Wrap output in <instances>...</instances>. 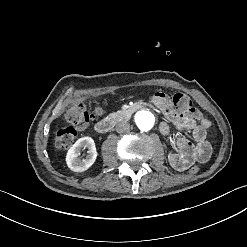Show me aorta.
Here are the masks:
<instances>
[{
    "label": "aorta",
    "instance_id": "762f6f07",
    "mask_svg": "<svg viewBox=\"0 0 247 247\" xmlns=\"http://www.w3.org/2000/svg\"><path fill=\"white\" fill-rule=\"evenodd\" d=\"M154 116L148 111L138 112L136 115V123L140 130L148 131L154 125Z\"/></svg>",
    "mask_w": 247,
    "mask_h": 247
}]
</instances>
